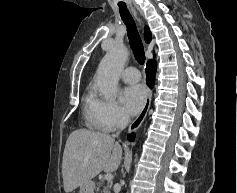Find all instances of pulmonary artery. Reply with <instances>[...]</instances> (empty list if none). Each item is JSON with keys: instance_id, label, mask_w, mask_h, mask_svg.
Here are the masks:
<instances>
[{"instance_id": "1", "label": "pulmonary artery", "mask_w": 237, "mask_h": 193, "mask_svg": "<svg viewBox=\"0 0 237 193\" xmlns=\"http://www.w3.org/2000/svg\"><path fill=\"white\" fill-rule=\"evenodd\" d=\"M121 78L126 83H136L141 79V74L136 67H127L121 74Z\"/></svg>"}]
</instances>
